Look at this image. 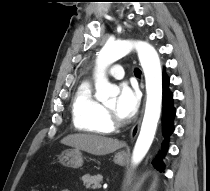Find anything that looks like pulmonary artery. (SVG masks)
<instances>
[{
	"label": "pulmonary artery",
	"instance_id": "1",
	"mask_svg": "<svg viewBox=\"0 0 210 191\" xmlns=\"http://www.w3.org/2000/svg\"><path fill=\"white\" fill-rule=\"evenodd\" d=\"M124 75V70L120 65L114 66L110 70V76L115 79H122Z\"/></svg>",
	"mask_w": 210,
	"mask_h": 191
}]
</instances>
